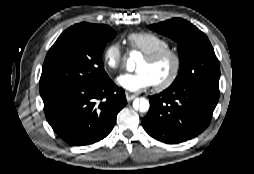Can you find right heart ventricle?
<instances>
[{
    "instance_id": "e07e8e85",
    "label": "right heart ventricle",
    "mask_w": 254,
    "mask_h": 174,
    "mask_svg": "<svg viewBox=\"0 0 254 174\" xmlns=\"http://www.w3.org/2000/svg\"><path fill=\"white\" fill-rule=\"evenodd\" d=\"M128 42L132 50L139 51L143 55L170 47V43L165 37L149 31L129 34Z\"/></svg>"
}]
</instances>
